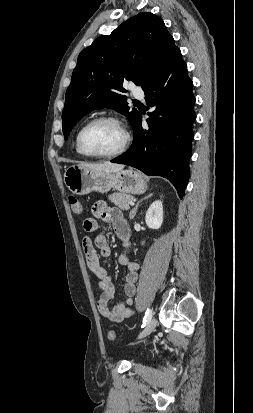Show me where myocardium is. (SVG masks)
I'll use <instances>...</instances> for the list:
<instances>
[{"mask_svg":"<svg viewBox=\"0 0 253 413\" xmlns=\"http://www.w3.org/2000/svg\"><path fill=\"white\" fill-rule=\"evenodd\" d=\"M101 122H108V123H112L114 125H116L123 133V142L121 144V146L113 152L110 153H103V154H97V153H91L89 152L84 144H83V136L85 131L91 127L94 124L97 123H101ZM77 147L78 150L80 151V153L84 156L87 157H92V158H113V157H117L122 155L123 153H125L130 144H131V135L130 132L128 131V129L126 128V126L124 125V123L119 120L118 118L114 117V116H99L96 118H93L92 120L88 121L87 123H85L79 130L78 134H77Z\"/></svg>","mask_w":253,"mask_h":413,"instance_id":"obj_1","label":"myocardium"}]
</instances>
